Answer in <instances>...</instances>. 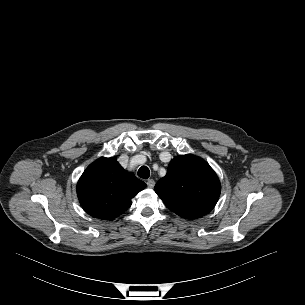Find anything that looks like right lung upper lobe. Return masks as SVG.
<instances>
[{
	"mask_svg": "<svg viewBox=\"0 0 305 305\" xmlns=\"http://www.w3.org/2000/svg\"><path fill=\"white\" fill-rule=\"evenodd\" d=\"M146 184L123 169L115 157H101L90 164L77 184L83 209L91 216L112 220L132 204L131 199Z\"/></svg>",
	"mask_w": 305,
	"mask_h": 305,
	"instance_id": "cb5924a9",
	"label": "right lung upper lobe"
}]
</instances>
